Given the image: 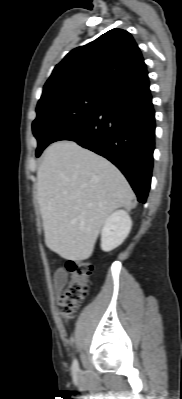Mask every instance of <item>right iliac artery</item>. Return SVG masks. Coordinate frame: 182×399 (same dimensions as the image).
<instances>
[{
	"label": "right iliac artery",
	"instance_id": "1",
	"mask_svg": "<svg viewBox=\"0 0 182 399\" xmlns=\"http://www.w3.org/2000/svg\"><path fill=\"white\" fill-rule=\"evenodd\" d=\"M72 370L73 373H78L79 371V366H78V361L76 359H74L73 364H72Z\"/></svg>",
	"mask_w": 182,
	"mask_h": 399
}]
</instances>
